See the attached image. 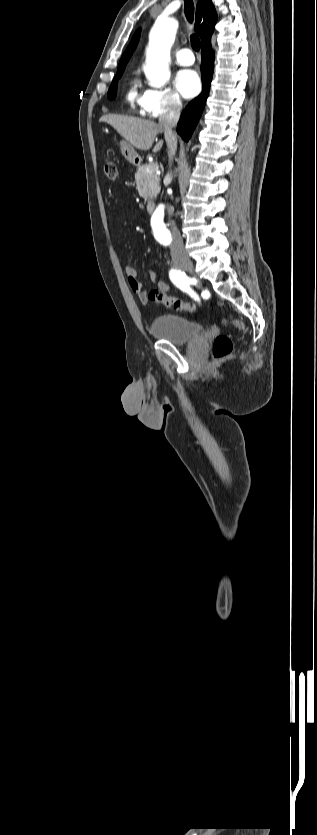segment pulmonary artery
<instances>
[{"label":"pulmonary artery","mask_w":317,"mask_h":835,"mask_svg":"<svg viewBox=\"0 0 317 835\" xmlns=\"http://www.w3.org/2000/svg\"><path fill=\"white\" fill-rule=\"evenodd\" d=\"M178 64L182 66L192 65L195 61L192 51L189 48H182L175 52Z\"/></svg>","instance_id":"1"}]
</instances>
